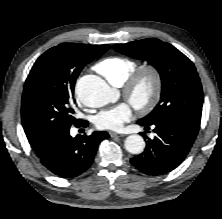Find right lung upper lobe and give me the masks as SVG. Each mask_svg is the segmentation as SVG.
<instances>
[{
	"label": "right lung upper lobe",
	"instance_id": "right-lung-upper-lobe-1",
	"mask_svg": "<svg viewBox=\"0 0 222 219\" xmlns=\"http://www.w3.org/2000/svg\"><path fill=\"white\" fill-rule=\"evenodd\" d=\"M72 45L79 50H87V49H92V48H107V50L110 48L109 45H87V44H77V43H72ZM28 141L32 148L35 150V152H39L44 148V146L47 144L49 139L51 137H45V136H34V135H29L26 134Z\"/></svg>",
	"mask_w": 222,
	"mask_h": 219
}]
</instances>
